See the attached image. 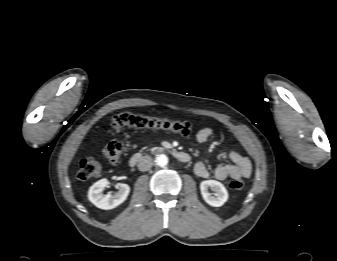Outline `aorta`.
I'll use <instances>...</instances> for the list:
<instances>
[{"mask_svg":"<svg viewBox=\"0 0 337 261\" xmlns=\"http://www.w3.org/2000/svg\"><path fill=\"white\" fill-rule=\"evenodd\" d=\"M156 164L160 167H164L168 164V157L165 154H160L156 157Z\"/></svg>","mask_w":337,"mask_h":261,"instance_id":"762f6f07","label":"aorta"}]
</instances>
